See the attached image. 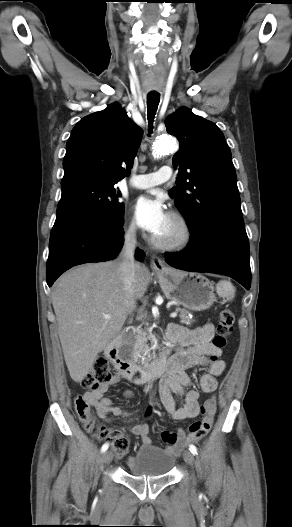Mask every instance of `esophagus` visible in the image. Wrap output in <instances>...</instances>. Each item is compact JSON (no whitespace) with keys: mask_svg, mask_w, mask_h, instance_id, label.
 Instances as JSON below:
<instances>
[{"mask_svg":"<svg viewBox=\"0 0 292 527\" xmlns=\"http://www.w3.org/2000/svg\"><path fill=\"white\" fill-rule=\"evenodd\" d=\"M151 268L156 272H162L167 269L164 261L158 256H152L150 261Z\"/></svg>","mask_w":292,"mask_h":527,"instance_id":"esophagus-1","label":"esophagus"}]
</instances>
